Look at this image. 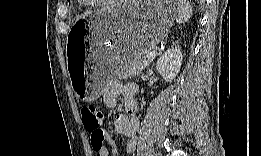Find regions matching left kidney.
Returning a JSON list of instances; mask_svg holds the SVG:
<instances>
[{
	"instance_id": "obj_1",
	"label": "left kidney",
	"mask_w": 261,
	"mask_h": 156,
	"mask_svg": "<svg viewBox=\"0 0 261 156\" xmlns=\"http://www.w3.org/2000/svg\"><path fill=\"white\" fill-rule=\"evenodd\" d=\"M182 53L179 47L168 49L157 61L156 70L168 83L177 76L182 65Z\"/></svg>"
}]
</instances>
